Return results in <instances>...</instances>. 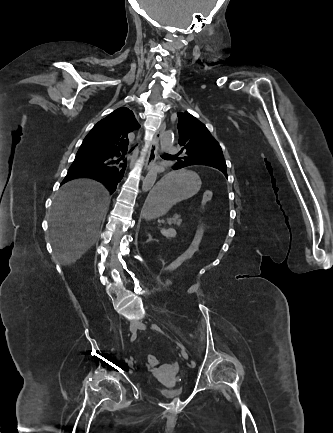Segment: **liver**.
<instances>
[{
  "instance_id": "1",
  "label": "liver",
  "mask_w": 333,
  "mask_h": 433,
  "mask_svg": "<svg viewBox=\"0 0 333 433\" xmlns=\"http://www.w3.org/2000/svg\"><path fill=\"white\" fill-rule=\"evenodd\" d=\"M110 199L101 183L87 178L72 180L57 192L49 228L54 255L61 265L74 264L95 244Z\"/></svg>"
}]
</instances>
